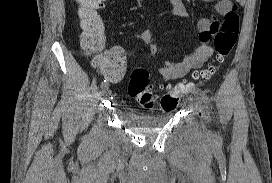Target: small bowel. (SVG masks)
I'll return each instance as SVG.
<instances>
[{
  "mask_svg": "<svg viewBox=\"0 0 272 183\" xmlns=\"http://www.w3.org/2000/svg\"><path fill=\"white\" fill-rule=\"evenodd\" d=\"M173 13L180 17H188V11L185 7L183 0H170ZM211 2L214 0H204ZM240 3H244V0H239ZM231 8L230 0H220L216 5V10L220 15H226ZM215 16L209 19H201L198 22V30L201 38H198V46H196L193 52L187 55L183 60L179 62H173L171 60L164 61L163 65L159 68L163 80L171 81L184 77L189 72L201 68L208 58L212 55V48L208 43H212V39L216 36V31L219 30V25H212L217 23ZM139 39L150 46V51L153 55L159 53V47L155 44V35L146 30L139 35ZM109 54L113 55V61L105 67H101L102 74L111 82L119 81L125 72L126 57L124 50L121 47H113L109 51Z\"/></svg>",
  "mask_w": 272,
  "mask_h": 183,
  "instance_id": "1",
  "label": "small bowel"
}]
</instances>
